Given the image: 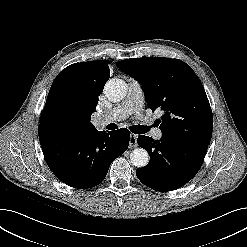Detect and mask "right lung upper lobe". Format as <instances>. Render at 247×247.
Segmentation results:
<instances>
[{
	"label": "right lung upper lobe",
	"instance_id": "cb5924a9",
	"mask_svg": "<svg viewBox=\"0 0 247 247\" xmlns=\"http://www.w3.org/2000/svg\"><path fill=\"white\" fill-rule=\"evenodd\" d=\"M110 77L108 62L91 61L75 63L63 69L55 78L42 113V118L55 101L64 82L68 83L72 103V115L62 133L82 136L98 132L90 122L97 105V98ZM47 127V126H46Z\"/></svg>",
	"mask_w": 247,
	"mask_h": 247
}]
</instances>
